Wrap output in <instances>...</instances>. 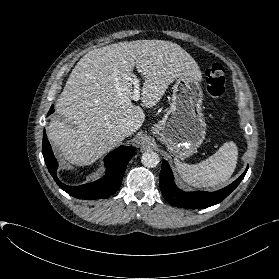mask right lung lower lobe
Wrapping results in <instances>:
<instances>
[{
	"label": "right lung lower lobe",
	"instance_id": "obj_1",
	"mask_svg": "<svg viewBox=\"0 0 279 279\" xmlns=\"http://www.w3.org/2000/svg\"><path fill=\"white\" fill-rule=\"evenodd\" d=\"M53 112L54 108L52 106L48 112V115L52 114ZM42 153L46 166L57 185L69 195L79 199L87 200L107 198L114 194L122 183V178L128 162L136 154L134 148L120 146L105 157L104 163L107 167V171L103 178L80 186H68L63 184L57 178L56 170L58 164L53 155L45 131L43 133Z\"/></svg>",
	"mask_w": 279,
	"mask_h": 279
}]
</instances>
